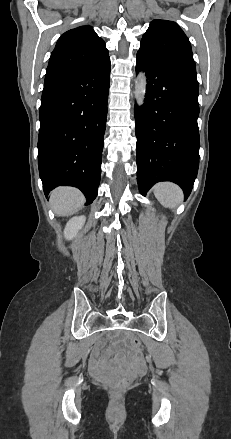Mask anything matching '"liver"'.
<instances>
[{"mask_svg":"<svg viewBox=\"0 0 231 439\" xmlns=\"http://www.w3.org/2000/svg\"><path fill=\"white\" fill-rule=\"evenodd\" d=\"M85 198L76 188L58 187L51 194V206L57 216H68L83 206Z\"/></svg>","mask_w":231,"mask_h":439,"instance_id":"6515ba94","label":"liver"}]
</instances>
